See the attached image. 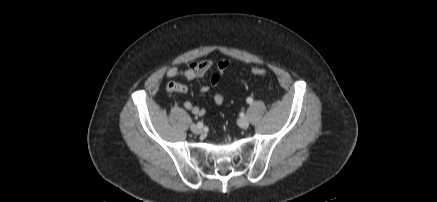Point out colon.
I'll list each match as a JSON object with an SVG mask.
<instances>
[{
	"label": "colon",
	"instance_id": "colon-1",
	"mask_svg": "<svg viewBox=\"0 0 437 202\" xmlns=\"http://www.w3.org/2000/svg\"><path fill=\"white\" fill-rule=\"evenodd\" d=\"M251 73L254 76H265L267 71L264 68L254 67L251 69Z\"/></svg>",
	"mask_w": 437,
	"mask_h": 202
}]
</instances>
